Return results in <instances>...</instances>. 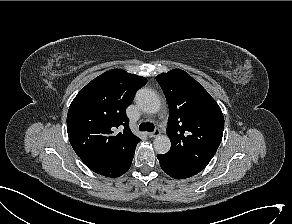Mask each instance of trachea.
<instances>
[{"label":"trachea","instance_id":"trachea-1","mask_svg":"<svg viewBox=\"0 0 292 224\" xmlns=\"http://www.w3.org/2000/svg\"><path fill=\"white\" fill-rule=\"evenodd\" d=\"M155 126L152 123H141L139 125V130L140 131H149L152 132L154 131Z\"/></svg>","mask_w":292,"mask_h":224}]
</instances>
